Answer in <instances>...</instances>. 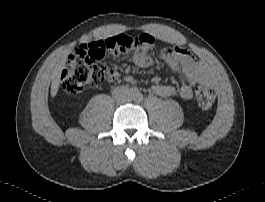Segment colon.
Segmentation results:
<instances>
[{
    "mask_svg": "<svg viewBox=\"0 0 265 202\" xmlns=\"http://www.w3.org/2000/svg\"><path fill=\"white\" fill-rule=\"evenodd\" d=\"M94 53H127L132 50H144L150 54L154 50L152 38L146 34L135 37L125 34H116L104 37L91 43ZM94 55H71L61 73L63 89L70 94L81 92L86 86H99L112 82L118 77V71L111 66L95 63ZM196 98L200 108L207 109L213 106L216 100V90L212 86L196 87Z\"/></svg>",
    "mask_w": 265,
    "mask_h": 202,
    "instance_id": "1",
    "label": "colon"
}]
</instances>
